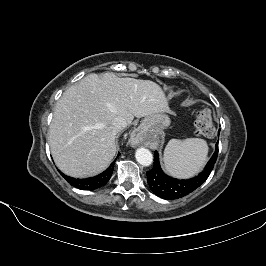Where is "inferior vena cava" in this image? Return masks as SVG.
<instances>
[{"mask_svg":"<svg viewBox=\"0 0 266 266\" xmlns=\"http://www.w3.org/2000/svg\"><path fill=\"white\" fill-rule=\"evenodd\" d=\"M127 126V122L122 117H116L112 121V129L115 133H118L119 131L123 130Z\"/></svg>","mask_w":266,"mask_h":266,"instance_id":"602c4592","label":"inferior vena cava"}]
</instances>
